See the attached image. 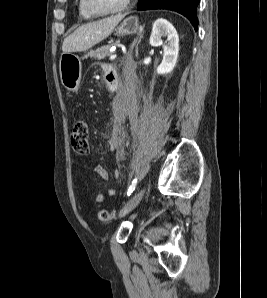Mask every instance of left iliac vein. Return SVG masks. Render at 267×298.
<instances>
[{
	"mask_svg": "<svg viewBox=\"0 0 267 298\" xmlns=\"http://www.w3.org/2000/svg\"><path fill=\"white\" fill-rule=\"evenodd\" d=\"M145 188H142L140 191L135 193L123 206V208L119 212V217H123L127 215L129 212H131L142 200L144 194H145Z\"/></svg>",
	"mask_w": 267,
	"mask_h": 298,
	"instance_id": "left-iliac-vein-1",
	"label": "left iliac vein"
}]
</instances>
